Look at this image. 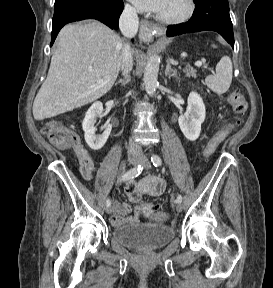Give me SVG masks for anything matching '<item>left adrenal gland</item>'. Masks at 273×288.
I'll return each mask as SVG.
<instances>
[{
  "mask_svg": "<svg viewBox=\"0 0 273 288\" xmlns=\"http://www.w3.org/2000/svg\"><path fill=\"white\" fill-rule=\"evenodd\" d=\"M165 76H169V77H174V78H178L177 77V70L176 69H172L170 66V62L167 60V65H166V69H165Z\"/></svg>",
  "mask_w": 273,
  "mask_h": 288,
  "instance_id": "obj_1",
  "label": "left adrenal gland"
}]
</instances>
